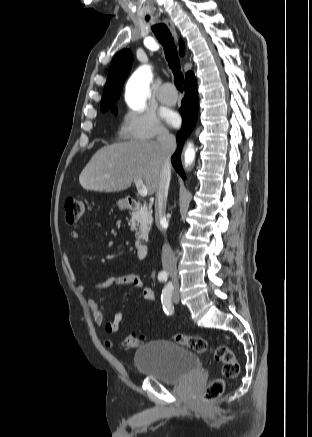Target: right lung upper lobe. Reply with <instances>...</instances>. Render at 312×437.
I'll list each match as a JSON object with an SVG mask.
<instances>
[{"label":"right lung upper lobe","instance_id":"right-lung-upper-lobe-1","mask_svg":"<svg viewBox=\"0 0 312 437\" xmlns=\"http://www.w3.org/2000/svg\"><path fill=\"white\" fill-rule=\"evenodd\" d=\"M183 52L184 43L180 41V53L183 54ZM132 61V52L129 49H124L120 51L113 58L101 100L102 111H106L110 107H112L119 98L123 82L128 75ZM191 74L193 73L188 72L185 78H187Z\"/></svg>","mask_w":312,"mask_h":437}]
</instances>
